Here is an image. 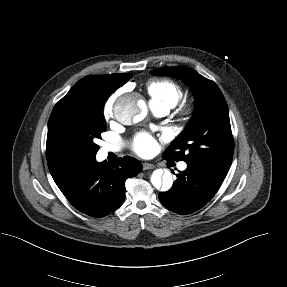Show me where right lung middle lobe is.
<instances>
[{
	"label": "right lung middle lobe",
	"instance_id": "right-lung-middle-lobe-1",
	"mask_svg": "<svg viewBox=\"0 0 287 287\" xmlns=\"http://www.w3.org/2000/svg\"><path fill=\"white\" fill-rule=\"evenodd\" d=\"M110 93L88 90L60 100L53 109L51 148L61 158L82 164L95 157V139L106 130L104 104Z\"/></svg>",
	"mask_w": 287,
	"mask_h": 287
}]
</instances>
